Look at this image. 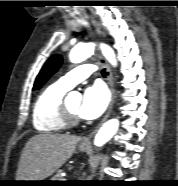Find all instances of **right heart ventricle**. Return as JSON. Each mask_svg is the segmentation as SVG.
<instances>
[{"label": "right heart ventricle", "mask_w": 178, "mask_h": 186, "mask_svg": "<svg viewBox=\"0 0 178 186\" xmlns=\"http://www.w3.org/2000/svg\"><path fill=\"white\" fill-rule=\"evenodd\" d=\"M68 91L58 82L48 86L36 99L32 120L35 129L42 133H58L65 127L58 118L59 107Z\"/></svg>", "instance_id": "1"}]
</instances>
